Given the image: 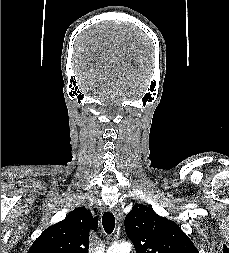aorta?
I'll return each mask as SVG.
<instances>
[{"mask_svg": "<svg viewBox=\"0 0 229 253\" xmlns=\"http://www.w3.org/2000/svg\"><path fill=\"white\" fill-rule=\"evenodd\" d=\"M131 245L128 242H123L118 245H113L107 250V253H130Z\"/></svg>", "mask_w": 229, "mask_h": 253, "instance_id": "aorta-1", "label": "aorta"}]
</instances>
